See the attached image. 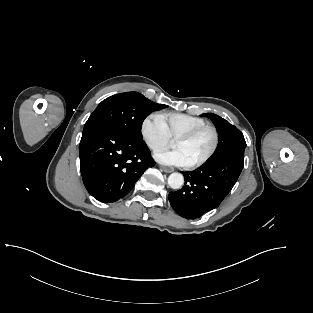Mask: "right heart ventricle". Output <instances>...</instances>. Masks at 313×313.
<instances>
[{"mask_svg":"<svg viewBox=\"0 0 313 313\" xmlns=\"http://www.w3.org/2000/svg\"><path fill=\"white\" fill-rule=\"evenodd\" d=\"M160 116L171 139H175L198 126L207 123L205 119L189 114L168 112L160 114Z\"/></svg>","mask_w":313,"mask_h":313,"instance_id":"e07e8e85","label":"right heart ventricle"}]
</instances>
